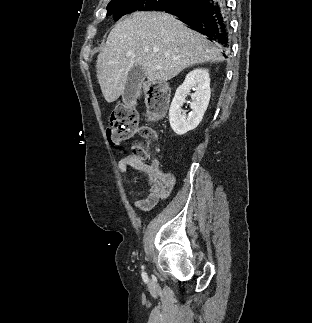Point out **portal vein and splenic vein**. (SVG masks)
Returning a JSON list of instances; mask_svg holds the SVG:
<instances>
[{"label":"portal vein and splenic vein","mask_w":312,"mask_h":323,"mask_svg":"<svg viewBox=\"0 0 312 323\" xmlns=\"http://www.w3.org/2000/svg\"><path fill=\"white\" fill-rule=\"evenodd\" d=\"M157 68H161V66H157Z\"/></svg>","instance_id":"portal-vein-and-splenic-vein-1"}]
</instances>
